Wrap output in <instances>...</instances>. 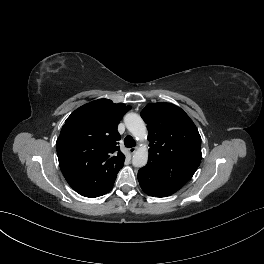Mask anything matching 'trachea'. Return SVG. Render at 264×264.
Segmentation results:
<instances>
[{
  "instance_id": "1",
  "label": "trachea",
  "mask_w": 264,
  "mask_h": 264,
  "mask_svg": "<svg viewBox=\"0 0 264 264\" xmlns=\"http://www.w3.org/2000/svg\"><path fill=\"white\" fill-rule=\"evenodd\" d=\"M124 144L128 148L134 147L136 145L135 141L133 140V138L131 136L125 137Z\"/></svg>"
}]
</instances>
